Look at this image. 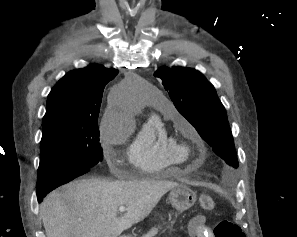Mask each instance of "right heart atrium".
Returning a JSON list of instances; mask_svg holds the SVG:
<instances>
[{
    "mask_svg": "<svg viewBox=\"0 0 297 237\" xmlns=\"http://www.w3.org/2000/svg\"><path fill=\"white\" fill-rule=\"evenodd\" d=\"M118 125L116 115L111 111H107L102 118L100 134L102 136V143L105 147V153L108 158H111L112 151L111 149L106 148V146L115 143L121 134Z\"/></svg>",
    "mask_w": 297,
    "mask_h": 237,
    "instance_id": "obj_1",
    "label": "right heart atrium"
}]
</instances>
